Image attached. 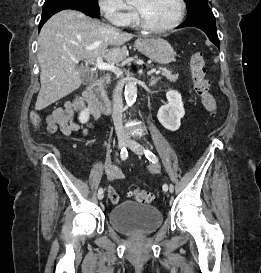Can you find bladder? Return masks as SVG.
Returning a JSON list of instances; mask_svg holds the SVG:
<instances>
[{"instance_id":"31cf9c89","label":"bladder","mask_w":261,"mask_h":273,"mask_svg":"<svg viewBox=\"0 0 261 273\" xmlns=\"http://www.w3.org/2000/svg\"><path fill=\"white\" fill-rule=\"evenodd\" d=\"M160 211L151 205L124 201L108 213V221L116 230L129 234L153 232L162 223Z\"/></svg>"}]
</instances>
